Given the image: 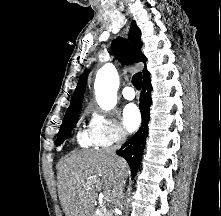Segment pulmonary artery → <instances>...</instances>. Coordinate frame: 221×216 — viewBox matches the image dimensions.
I'll return each mask as SVG.
<instances>
[{"label": "pulmonary artery", "instance_id": "obj_1", "mask_svg": "<svg viewBox=\"0 0 221 216\" xmlns=\"http://www.w3.org/2000/svg\"><path fill=\"white\" fill-rule=\"evenodd\" d=\"M122 95L127 100H133L136 96L135 90L131 86H126L123 91Z\"/></svg>", "mask_w": 221, "mask_h": 216}]
</instances>
